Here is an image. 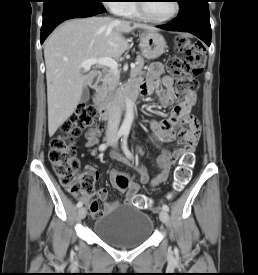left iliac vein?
Masks as SVG:
<instances>
[{"instance_id":"1","label":"left iliac vein","mask_w":258,"mask_h":275,"mask_svg":"<svg viewBox=\"0 0 258 275\" xmlns=\"http://www.w3.org/2000/svg\"><path fill=\"white\" fill-rule=\"evenodd\" d=\"M159 217H160V220L163 222V223H167L168 220H169V215H168V212L165 211V210H162L159 214Z\"/></svg>"}]
</instances>
